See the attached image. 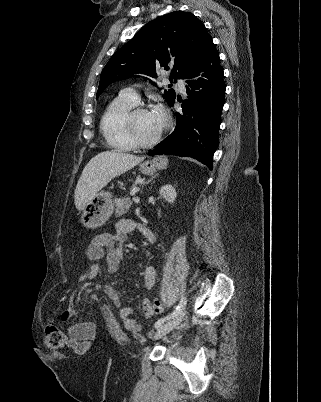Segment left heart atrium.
Segmentation results:
<instances>
[{
  "label": "left heart atrium",
  "mask_w": 321,
  "mask_h": 402,
  "mask_svg": "<svg viewBox=\"0 0 321 402\" xmlns=\"http://www.w3.org/2000/svg\"><path fill=\"white\" fill-rule=\"evenodd\" d=\"M151 115L158 119V120H164L165 118V114H164V110L161 106H155L151 111H150Z\"/></svg>",
  "instance_id": "39dd6f15"
}]
</instances>
